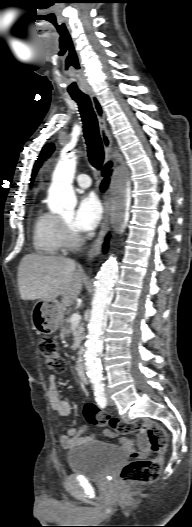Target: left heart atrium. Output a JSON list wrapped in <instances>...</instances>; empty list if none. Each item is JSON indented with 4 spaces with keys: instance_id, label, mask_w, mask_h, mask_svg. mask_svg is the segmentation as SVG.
I'll use <instances>...</instances> for the list:
<instances>
[{
    "instance_id": "left-heart-atrium-1",
    "label": "left heart atrium",
    "mask_w": 192,
    "mask_h": 527,
    "mask_svg": "<svg viewBox=\"0 0 192 527\" xmlns=\"http://www.w3.org/2000/svg\"><path fill=\"white\" fill-rule=\"evenodd\" d=\"M102 218V206L94 194L85 195L79 202L78 208L70 222L77 232L94 230Z\"/></svg>"
}]
</instances>
